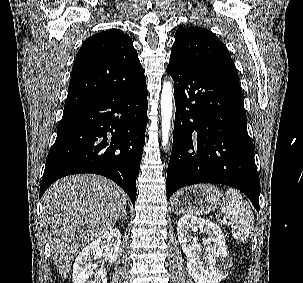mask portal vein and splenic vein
I'll list each match as a JSON object with an SVG mask.
<instances>
[{
  "label": "portal vein and splenic vein",
  "instance_id": "portal-vein-and-splenic-vein-1",
  "mask_svg": "<svg viewBox=\"0 0 303 283\" xmlns=\"http://www.w3.org/2000/svg\"><path fill=\"white\" fill-rule=\"evenodd\" d=\"M220 222L225 223V222H227V220H226V218H223V219L220 220Z\"/></svg>",
  "mask_w": 303,
  "mask_h": 283
}]
</instances>
